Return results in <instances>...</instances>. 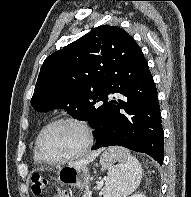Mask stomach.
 I'll return each mask as SVG.
<instances>
[{"label": "stomach", "instance_id": "1", "mask_svg": "<svg viewBox=\"0 0 191 197\" xmlns=\"http://www.w3.org/2000/svg\"><path fill=\"white\" fill-rule=\"evenodd\" d=\"M117 161L116 157L109 150H105L101 155L100 163L102 167L109 168ZM89 171L86 166L75 167L65 166L58 171V180L64 185L76 187L82 190L89 184Z\"/></svg>", "mask_w": 191, "mask_h": 197}]
</instances>
